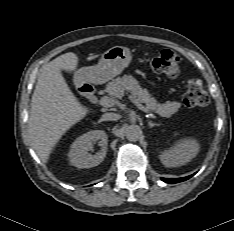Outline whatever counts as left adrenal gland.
I'll return each mask as SVG.
<instances>
[{"mask_svg": "<svg viewBox=\"0 0 234 231\" xmlns=\"http://www.w3.org/2000/svg\"><path fill=\"white\" fill-rule=\"evenodd\" d=\"M148 125H149L150 128H152L154 126H160V124L152 123L151 121H148Z\"/></svg>", "mask_w": 234, "mask_h": 231, "instance_id": "a2214340", "label": "left adrenal gland"}]
</instances>
